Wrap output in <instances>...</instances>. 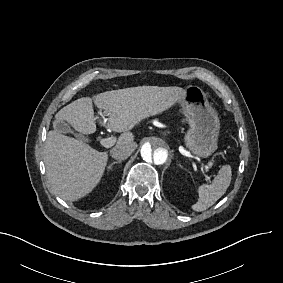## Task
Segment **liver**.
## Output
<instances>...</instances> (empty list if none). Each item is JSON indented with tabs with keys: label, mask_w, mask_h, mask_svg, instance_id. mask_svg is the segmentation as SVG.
<instances>
[{
	"label": "liver",
	"mask_w": 283,
	"mask_h": 283,
	"mask_svg": "<svg viewBox=\"0 0 283 283\" xmlns=\"http://www.w3.org/2000/svg\"><path fill=\"white\" fill-rule=\"evenodd\" d=\"M180 87L139 86L99 94L96 104L109 113L108 127L122 134L116 145L137 148L130 130L143 120L161 115L187 98ZM55 119L67 121L83 135L96 132L93 101L80 98L61 109ZM109 152H99L80 139L66 136L57 130L47 134L44 149L46 176L54 192L63 200L78 202L99 185L108 164Z\"/></svg>",
	"instance_id": "liver-1"
}]
</instances>
